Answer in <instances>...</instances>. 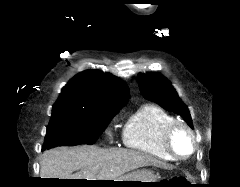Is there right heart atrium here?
<instances>
[{
    "label": "right heart atrium",
    "instance_id": "obj_1",
    "mask_svg": "<svg viewBox=\"0 0 240 187\" xmlns=\"http://www.w3.org/2000/svg\"><path fill=\"white\" fill-rule=\"evenodd\" d=\"M106 130H107V132L109 134L110 133V126H108Z\"/></svg>",
    "mask_w": 240,
    "mask_h": 187
}]
</instances>
